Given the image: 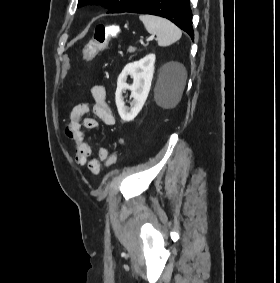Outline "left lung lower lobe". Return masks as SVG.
<instances>
[{"instance_id":"obj_1","label":"left lung lower lobe","mask_w":280,"mask_h":283,"mask_svg":"<svg viewBox=\"0 0 280 283\" xmlns=\"http://www.w3.org/2000/svg\"><path fill=\"white\" fill-rule=\"evenodd\" d=\"M126 12L165 17L194 38L189 0H140Z\"/></svg>"}]
</instances>
